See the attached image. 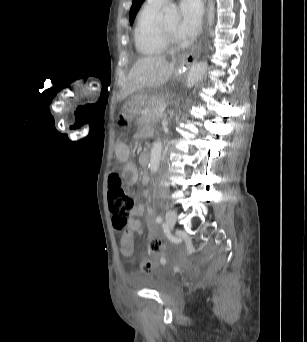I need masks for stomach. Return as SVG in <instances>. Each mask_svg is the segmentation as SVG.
Listing matches in <instances>:
<instances>
[{
  "label": "stomach",
  "instance_id": "1",
  "mask_svg": "<svg viewBox=\"0 0 307 342\" xmlns=\"http://www.w3.org/2000/svg\"><path fill=\"white\" fill-rule=\"evenodd\" d=\"M186 67L187 64L185 62H179L173 71V78L176 79L179 76H181L184 73ZM146 99L147 96L144 95L134 96L130 98L123 106V117L127 120H132L138 115H140V113L143 110Z\"/></svg>",
  "mask_w": 307,
  "mask_h": 342
}]
</instances>
